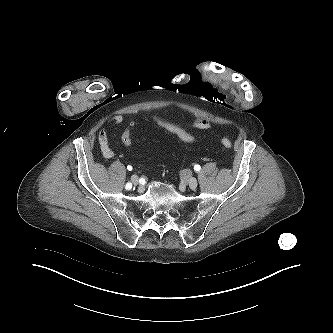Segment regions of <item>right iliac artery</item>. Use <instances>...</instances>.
Returning a JSON list of instances; mask_svg holds the SVG:
<instances>
[{"instance_id": "1", "label": "right iliac artery", "mask_w": 333, "mask_h": 333, "mask_svg": "<svg viewBox=\"0 0 333 333\" xmlns=\"http://www.w3.org/2000/svg\"><path fill=\"white\" fill-rule=\"evenodd\" d=\"M125 188H126L127 190H130V189L132 188V184H131L130 182H128V183L126 184Z\"/></svg>"}]
</instances>
